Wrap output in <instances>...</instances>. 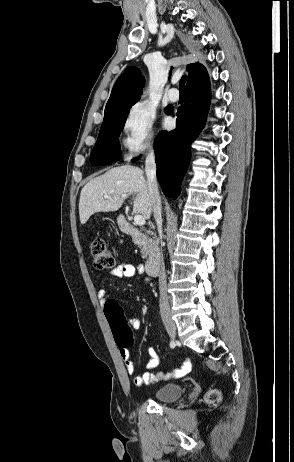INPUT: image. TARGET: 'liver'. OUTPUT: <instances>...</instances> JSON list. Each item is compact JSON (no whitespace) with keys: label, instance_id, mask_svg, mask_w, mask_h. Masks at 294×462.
I'll list each match as a JSON object with an SVG mask.
<instances>
[{"label":"liver","instance_id":"1","mask_svg":"<svg viewBox=\"0 0 294 462\" xmlns=\"http://www.w3.org/2000/svg\"><path fill=\"white\" fill-rule=\"evenodd\" d=\"M132 194H136L133 212L149 219L152 213V201L148 182L140 168L123 165L90 180L80 194L81 224H85L94 213L117 211L124 200ZM104 195H109L110 198L106 199Z\"/></svg>","mask_w":294,"mask_h":462}]
</instances>
